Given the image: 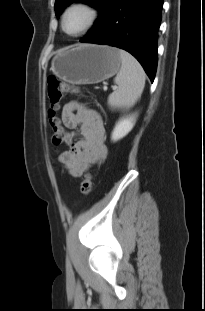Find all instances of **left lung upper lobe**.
Instances as JSON below:
<instances>
[{
	"label": "left lung upper lobe",
	"instance_id": "5c2ea615",
	"mask_svg": "<svg viewBox=\"0 0 205 311\" xmlns=\"http://www.w3.org/2000/svg\"><path fill=\"white\" fill-rule=\"evenodd\" d=\"M75 1L88 3L91 6L100 9L101 18L96 21L94 27L108 14L112 3L114 2V0H56L54 6L56 15L58 16L68 4Z\"/></svg>",
	"mask_w": 205,
	"mask_h": 311
}]
</instances>
